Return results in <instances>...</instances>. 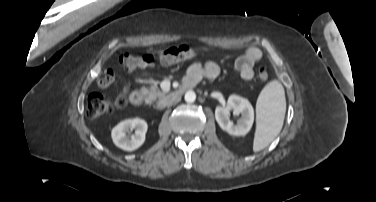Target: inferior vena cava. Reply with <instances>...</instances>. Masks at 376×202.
<instances>
[{
    "label": "inferior vena cava",
    "instance_id": "obj_1",
    "mask_svg": "<svg viewBox=\"0 0 376 202\" xmlns=\"http://www.w3.org/2000/svg\"><path fill=\"white\" fill-rule=\"evenodd\" d=\"M178 101H179V98H175V99L169 100V101L167 102V105L170 106V105H172V104H174V103H176V102H178Z\"/></svg>",
    "mask_w": 376,
    "mask_h": 202
}]
</instances>
